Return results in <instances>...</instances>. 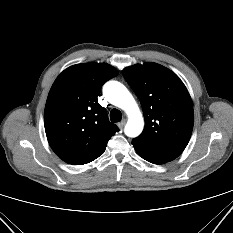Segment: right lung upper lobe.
<instances>
[{
	"instance_id": "cb5924a9",
	"label": "right lung upper lobe",
	"mask_w": 233,
	"mask_h": 233,
	"mask_svg": "<svg viewBox=\"0 0 233 233\" xmlns=\"http://www.w3.org/2000/svg\"><path fill=\"white\" fill-rule=\"evenodd\" d=\"M117 75L111 65L92 62L73 65L55 80L45 106L44 126L52 150L66 163L95 160L119 131L97 100L101 86Z\"/></svg>"
}]
</instances>
